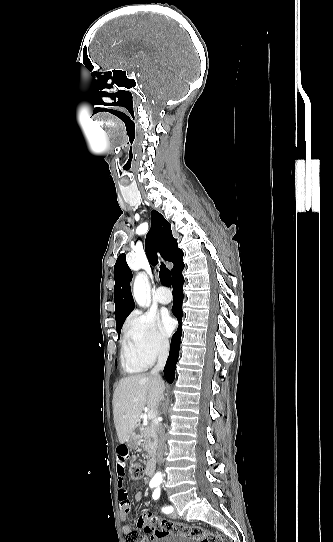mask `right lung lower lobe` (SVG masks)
Wrapping results in <instances>:
<instances>
[{
	"label": "right lung lower lobe",
	"mask_w": 333,
	"mask_h": 542,
	"mask_svg": "<svg viewBox=\"0 0 333 542\" xmlns=\"http://www.w3.org/2000/svg\"><path fill=\"white\" fill-rule=\"evenodd\" d=\"M174 268L171 270L172 273V286H173V307L172 312L175 317L180 322L182 318L181 305L183 301V284L184 278L182 276V271L184 268L183 263V252L181 251L176 259L173 261ZM182 334V328L179 325L177 331L174 333L171 340V347L167 363L164 368V377L168 383H172L175 378V367L179 356L180 349V338Z\"/></svg>",
	"instance_id": "98d812e1"
}]
</instances>
